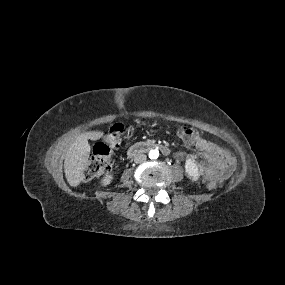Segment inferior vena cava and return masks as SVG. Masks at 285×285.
Segmentation results:
<instances>
[{"label": "inferior vena cava", "mask_w": 285, "mask_h": 285, "mask_svg": "<svg viewBox=\"0 0 285 285\" xmlns=\"http://www.w3.org/2000/svg\"><path fill=\"white\" fill-rule=\"evenodd\" d=\"M146 159H147V157L145 154H137L134 157V162L137 164H141V163H144L146 161Z\"/></svg>", "instance_id": "1"}]
</instances>
